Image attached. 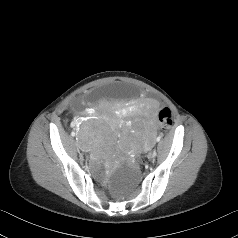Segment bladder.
Here are the masks:
<instances>
[{"mask_svg":"<svg viewBox=\"0 0 238 238\" xmlns=\"http://www.w3.org/2000/svg\"><path fill=\"white\" fill-rule=\"evenodd\" d=\"M141 95V89L135 85L117 84L109 86L96 87L87 94L90 102L106 97L107 99H132Z\"/></svg>","mask_w":238,"mask_h":238,"instance_id":"obj_1","label":"bladder"}]
</instances>
